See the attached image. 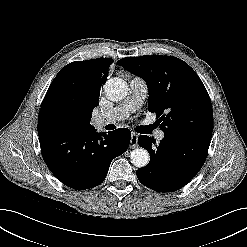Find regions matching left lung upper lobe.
Here are the masks:
<instances>
[{
	"instance_id": "obj_1",
	"label": "left lung upper lobe",
	"mask_w": 247,
	"mask_h": 247,
	"mask_svg": "<svg viewBox=\"0 0 247 247\" xmlns=\"http://www.w3.org/2000/svg\"><path fill=\"white\" fill-rule=\"evenodd\" d=\"M142 77L149 90L148 109L168 135L210 141L213 110L210 97L195 71L173 56L145 55L117 62Z\"/></svg>"
}]
</instances>
